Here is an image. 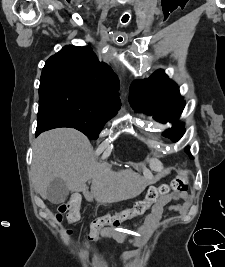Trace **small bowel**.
<instances>
[{"instance_id":"c3829d8e","label":"small bowel","mask_w":225,"mask_h":267,"mask_svg":"<svg viewBox=\"0 0 225 267\" xmlns=\"http://www.w3.org/2000/svg\"><path fill=\"white\" fill-rule=\"evenodd\" d=\"M170 201H179L178 203L169 206V211L176 212L179 214H182L186 212L190 206L192 205V196L187 192L182 193H174L170 196L164 197L160 201H158L152 208V213L148 217V221L152 224L157 223L159 218L161 217L164 207L170 202ZM90 235L92 237L91 241L96 242L98 241L101 236H110L109 233H104L102 235H93L92 232H90ZM142 252V250H137L129 253H125L120 258V263L117 267H120L123 263H125L128 259L139 255Z\"/></svg>"}]
</instances>
